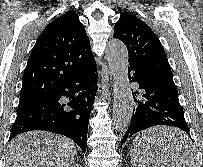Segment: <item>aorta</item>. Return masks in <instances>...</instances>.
Here are the masks:
<instances>
[{"label": "aorta", "instance_id": "aorta-1", "mask_svg": "<svg viewBox=\"0 0 203 167\" xmlns=\"http://www.w3.org/2000/svg\"><path fill=\"white\" fill-rule=\"evenodd\" d=\"M106 58L114 81L113 126L122 132L129 126L134 110L125 44L118 39L110 40L106 47Z\"/></svg>", "mask_w": 203, "mask_h": 167}]
</instances>
